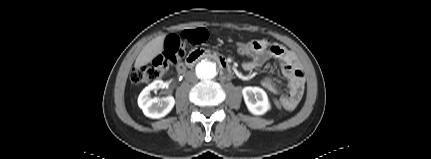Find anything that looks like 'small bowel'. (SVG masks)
<instances>
[{"label":"small bowel","instance_id":"small-bowel-1","mask_svg":"<svg viewBox=\"0 0 431 159\" xmlns=\"http://www.w3.org/2000/svg\"><path fill=\"white\" fill-rule=\"evenodd\" d=\"M239 45L248 47V52L241 54L246 57L243 62V68L247 71L261 67L270 58L277 59L280 62V72L288 84V92L281 96L280 105L285 111L296 108L303 95L305 75L295 55L283 46L267 39L240 42L237 47ZM177 68L181 70L183 65L179 63ZM263 86L271 93L279 94V88L271 78H266L263 81Z\"/></svg>","mask_w":431,"mask_h":159}]
</instances>
